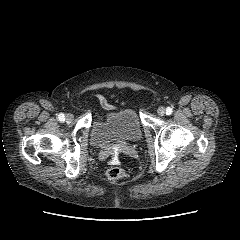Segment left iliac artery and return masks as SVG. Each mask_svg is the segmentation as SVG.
<instances>
[{
  "instance_id": "44dca946",
  "label": "left iliac artery",
  "mask_w": 240,
  "mask_h": 240,
  "mask_svg": "<svg viewBox=\"0 0 240 240\" xmlns=\"http://www.w3.org/2000/svg\"><path fill=\"white\" fill-rule=\"evenodd\" d=\"M172 112H173V109H172L171 107H167V108H166V114H167V115L172 114Z\"/></svg>"
}]
</instances>
